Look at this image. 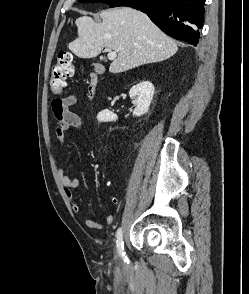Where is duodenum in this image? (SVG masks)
I'll return each mask as SVG.
<instances>
[{"instance_id": "410a0bca", "label": "duodenum", "mask_w": 249, "mask_h": 294, "mask_svg": "<svg viewBox=\"0 0 249 294\" xmlns=\"http://www.w3.org/2000/svg\"><path fill=\"white\" fill-rule=\"evenodd\" d=\"M98 83H99L98 76L96 74H91L89 86H88V94L90 98H94V96L96 95Z\"/></svg>"}]
</instances>
